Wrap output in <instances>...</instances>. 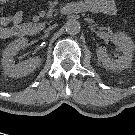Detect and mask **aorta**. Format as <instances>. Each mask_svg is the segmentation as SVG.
Masks as SVG:
<instances>
[{"instance_id": "1", "label": "aorta", "mask_w": 135, "mask_h": 135, "mask_svg": "<svg viewBox=\"0 0 135 135\" xmlns=\"http://www.w3.org/2000/svg\"><path fill=\"white\" fill-rule=\"evenodd\" d=\"M65 30L68 34H77L80 31V23L76 19H70L65 23Z\"/></svg>"}]
</instances>
